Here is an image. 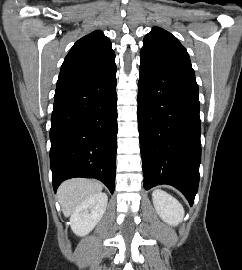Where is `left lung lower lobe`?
<instances>
[{"label": "left lung lower lobe", "instance_id": "left-lung-lower-lobe-1", "mask_svg": "<svg viewBox=\"0 0 242 270\" xmlns=\"http://www.w3.org/2000/svg\"><path fill=\"white\" fill-rule=\"evenodd\" d=\"M139 75L138 126L144 188L172 185L192 206L201 162L195 77L143 62Z\"/></svg>", "mask_w": 242, "mask_h": 270}]
</instances>
